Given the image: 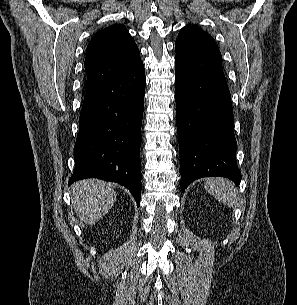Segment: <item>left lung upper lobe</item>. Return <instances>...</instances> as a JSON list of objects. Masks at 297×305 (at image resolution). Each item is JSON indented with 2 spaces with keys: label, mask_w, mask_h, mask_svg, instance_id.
Listing matches in <instances>:
<instances>
[{
  "label": "left lung upper lobe",
  "mask_w": 297,
  "mask_h": 305,
  "mask_svg": "<svg viewBox=\"0 0 297 305\" xmlns=\"http://www.w3.org/2000/svg\"><path fill=\"white\" fill-rule=\"evenodd\" d=\"M175 49L176 64L189 73L223 71L215 40L200 27H184L178 34Z\"/></svg>",
  "instance_id": "1"
}]
</instances>
